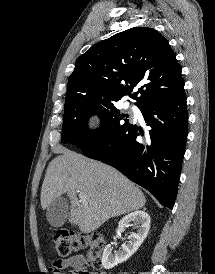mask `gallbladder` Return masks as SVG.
<instances>
[{
    "label": "gallbladder",
    "instance_id": "gallbladder-1",
    "mask_svg": "<svg viewBox=\"0 0 215 274\" xmlns=\"http://www.w3.org/2000/svg\"><path fill=\"white\" fill-rule=\"evenodd\" d=\"M69 214V205L66 199L56 198L46 209V218L53 227H61Z\"/></svg>",
    "mask_w": 215,
    "mask_h": 274
}]
</instances>
